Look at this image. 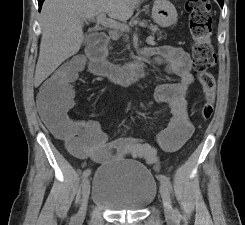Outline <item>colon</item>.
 I'll use <instances>...</instances> for the list:
<instances>
[{
    "label": "colon",
    "mask_w": 245,
    "mask_h": 225,
    "mask_svg": "<svg viewBox=\"0 0 245 225\" xmlns=\"http://www.w3.org/2000/svg\"><path fill=\"white\" fill-rule=\"evenodd\" d=\"M189 13V30L193 38L192 53L195 70L199 73V82L204 94L201 117L210 120L213 115L216 84L214 77L208 72L216 65V55L211 44L212 18L211 4L208 0H187ZM79 65V61H71L68 66L58 69L42 85L44 95L51 97L56 104L67 97L71 89L72 69ZM54 128L62 137L68 148L76 144V130L68 125L54 123Z\"/></svg>",
    "instance_id": "colon-1"
}]
</instances>
